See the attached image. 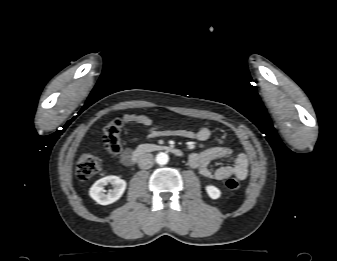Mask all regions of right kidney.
<instances>
[{
	"label": "right kidney",
	"mask_w": 337,
	"mask_h": 261,
	"mask_svg": "<svg viewBox=\"0 0 337 261\" xmlns=\"http://www.w3.org/2000/svg\"><path fill=\"white\" fill-rule=\"evenodd\" d=\"M112 184L114 188L109 190L107 194L104 193V186ZM126 181L120 179L117 176H106L97 180L89 190V195L98 204L108 205L117 201L124 193L126 189Z\"/></svg>",
	"instance_id": "obj_1"
}]
</instances>
